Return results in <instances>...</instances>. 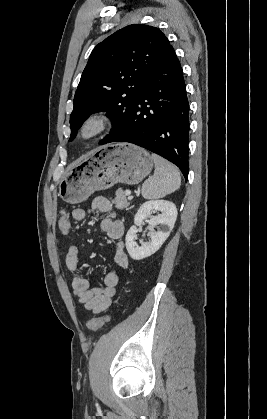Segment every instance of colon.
<instances>
[{"label":"colon","mask_w":267,"mask_h":419,"mask_svg":"<svg viewBox=\"0 0 267 419\" xmlns=\"http://www.w3.org/2000/svg\"><path fill=\"white\" fill-rule=\"evenodd\" d=\"M58 228L64 235H69L71 232L70 219L66 212H62L58 219ZM111 316L109 314L99 316L91 319L87 323V329L91 332L96 331L102 327L106 322L110 320Z\"/></svg>","instance_id":"5ec220e1"}]
</instances>
